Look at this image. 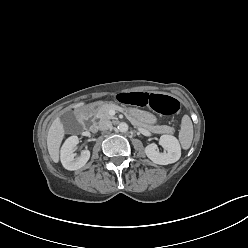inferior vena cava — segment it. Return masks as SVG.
Listing matches in <instances>:
<instances>
[{
  "label": "inferior vena cava",
  "mask_w": 248,
  "mask_h": 248,
  "mask_svg": "<svg viewBox=\"0 0 248 248\" xmlns=\"http://www.w3.org/2000/svg\"><path fill=\"white\" fill-rule=\"evenodd\" d=\"M111 126H112V123L109 120H100L98 123V128L102 131L110 129Z\"/></svg>",
  "instance_id": "obj_1"
}]
</instances>
